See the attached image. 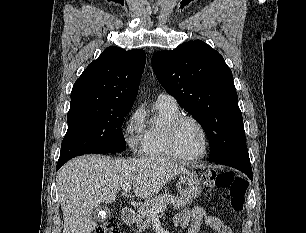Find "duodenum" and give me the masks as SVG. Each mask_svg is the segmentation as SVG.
<instances>
[{
    "mask_svg": "<svg viewBox=\"0 0 306 233\" xmlns=\"http://www.w3.org/2000/svg\"><path fill=\"white\" fill-rule=\"evenodd\" d=\"M121 218L126 225L132 224L134 221V210L129 207H124L121 210Z\"/></svg>",
    "mask_w": 306,
    "mask_h": 233,
    "instance_id": "obj_1",
    "label": "duodenum"
}]
</instances>
